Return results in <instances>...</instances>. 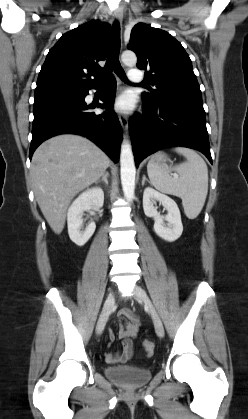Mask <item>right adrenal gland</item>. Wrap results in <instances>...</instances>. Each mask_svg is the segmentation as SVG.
<instances>
[{"mask_svg": "<svg viewBox=\"0 0 248 419\" xmlns=\"http://www.w3.org/2000/svg\"><path fill=\"white\" fill-rule=\"evenodd\" d=\"M108 177H109V173L105 171L102 178L96 181V184L100 182H105V184L108 185Z\"/></svg>", "mask_w": 248, "mask_h": 419, "instance_id": "2a0ac1e0", "label": "right adrenal gland"}]
</instances>
